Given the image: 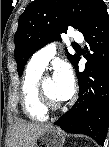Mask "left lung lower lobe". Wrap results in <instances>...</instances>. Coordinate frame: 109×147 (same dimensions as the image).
I'll use <instances>...</instances> for the list:
<instances>
[{
	"label": "left lung lower lobe",
	"mask_w": 109,
	"mask_h": 147,
	"mask_svg": "<svg viewBox=\"0 0 109 147\" xmlns=\"http://www.w3.org/2000/svg\"><path fill=\"white\" fill-rule=\"evenodd\" d=\"M80 32L92 53L86 51L88 62L82 73L77 70V59L74 67L79 98L54 124L68 133L85 134L103 145L109 125V14L104 2ZM88 76L96 77L95 81L92 82Z\"/></svg>",
	"instance_id": "0a47b994"
}]
</instances>
